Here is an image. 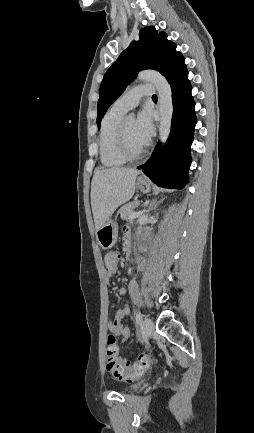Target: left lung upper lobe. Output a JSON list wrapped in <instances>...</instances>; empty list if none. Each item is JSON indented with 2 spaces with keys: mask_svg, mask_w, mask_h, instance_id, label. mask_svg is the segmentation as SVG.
<instances>
[{
  "mask_svg": "<svg viewBox=\"0 0 254 433\" xmlns=\"http://www.w3.org/2000/svg\"><path fill=\"white\" fill-rule=\"evenodd\" d=\"M176 45L154 26L140 30L139 41H133L106 72L100 86L97 103V125L109 106L122 94L140 70L154 69L165 76L172 64L181 57Z\"/></svg>",
  "mask_w": 254,
  "mask_h": 433,
  "instance_id": "left-lung-upper-lobe-1",
  "label": "left lung upper lobe"
}]
</instances>
